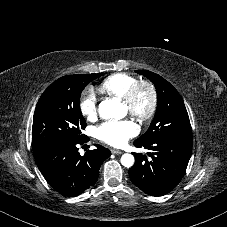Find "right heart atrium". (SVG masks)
Returning a JSON list of instances; mask_svg holds the SVG:
<instances>
[{"instance_id":"1","label":"right heart atrium","mask_w":227,"mask_h":227,"mask_svg":"<svg viewBox=\"0 0 227 227\" xmlns=\"http://www.w3.org/2000/svg\"><path fill=\"white\" fill-rule=\"evenodd\" d=\"M81 114L87 120H94L98 116V99L94 91L87 90L83 93L80 104Z\"/></svg>"}]
</instances>
